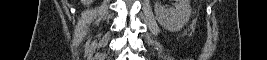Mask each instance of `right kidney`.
<instances>
[{
  "mask_svg": "<svg viewBox=\"0 0 267 60\" xmlns=\"http://www.w3.org/2000/svg\"><path fill=\"white\" fill-rule=\"evenodd\" d=\"M81 2H82L84 5H89V4H91L92 0H81Z\"/></svg>",
  "mask_w": 267,
  "mask_h": 60,
  "instance_id": "obj_1",
  "label": "right kidney"
}]
</instances>
